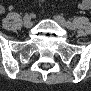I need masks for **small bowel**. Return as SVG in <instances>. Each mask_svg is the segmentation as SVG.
I'll return each instance as SVG.
<instances>
[{
	"label": "small bowel",
	"instance_id": "small-bowel-1",
	"mask_svg": "<svg viewBox=\"0 0 91 91\" xmlns=\"http://www.w3.org/2000/svg\"><path fill=\"white\" fill-rule=\"evenodd\" d=\"M79 8L82 10H87L91 8V2L89 0H83L79 4Z\"/></svg>",
	"mask_w": 91,
	"mask_h": 91
}]
</instances>
